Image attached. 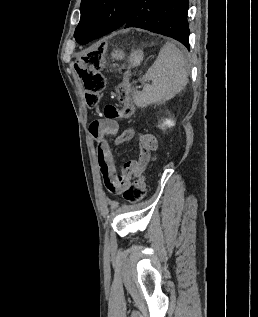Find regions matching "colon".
Here are the masks:
<instances>
[{"instance_id": "obj_1", "label": "colon", "mask_w": 258, "mask_h": 317, "mask_svg": "<svg viewBox=\"0 0 258 317\" xmlns=\"http://www.w3.org/2000/svg\"><path fill=\"white\" fill-rule=\"evenodd\" d=\"M104 65V51L101 48H93L82 52L75 64V70L82 82L86 102L89 106L97 105L105 87V79L101 73ZM119 105H106L104 118L114 120L117 118L131 119L136 111L131 97L130 89L120 84L117 89ZM146 194V185L143 176L135 179L123 191L124 198L130 202L141 201Z\"/></svg>"}]
</instances>
